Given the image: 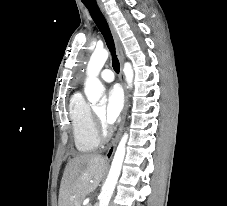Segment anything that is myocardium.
<instances>
[{"label":"myocardium","mask_w":227,"mask_h":206,"mask_svg":"<svg viewBox=\"0 0 227 206\" xmlns=\"http://www.w3.org/2000/svg\"><path fill=\"white\" fill-rule=\"evenodd\" d=\"M96 117H97V119H99V116L98 115ZM97 132H98V136L100 138H105L106 135H107L106 130L103 127H101V126L97 129Z\"/></svg>","instance_id":"myocardium-1"}]
</instances>
